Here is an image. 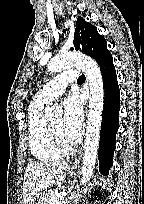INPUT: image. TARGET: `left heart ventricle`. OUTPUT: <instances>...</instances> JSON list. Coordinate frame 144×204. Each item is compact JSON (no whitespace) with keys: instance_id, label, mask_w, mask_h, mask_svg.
<instances>
[{"instance_id":"obj_1","label":"left heart ventricle","mask_w":144,"mask_h":204,"mask_svg":"<svg viewBox=\"0 0 144 204\" xmlns=\"http://www.w3.org/2000/svg\"><path fill=\"white\" fill-rule=\"evenodd\" d=\"M51 125L53 126V128L60 134V136L66 141V142H72V140H70L69 138H67V136L64 134V130H63V119L62 118H58L56 120H54Z\"/></svg>"}]
</instances>
